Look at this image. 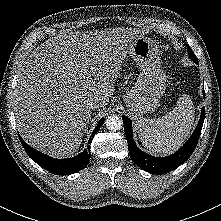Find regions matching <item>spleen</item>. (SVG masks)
<instances>
[{"label":"spleen","mask_w":221,"mask_h":221,"mask_svg":"<svg viewBox=\"0 0 221 221\" xmlns=\"http://www.w3.org/2000/svg\"><path fill=\"white\" fill-rule=\"evenodd\" d=\"M194 105L182 95L177 106L157 119L137 118L135 129L142 145L153 152L172 153L184 143L194 122Z\"/></svg>","instance_id":"spleen-1"}]
</instances>
